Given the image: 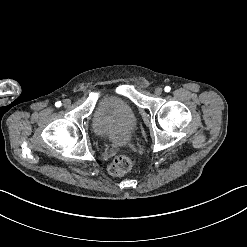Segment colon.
<instances>
[{"mask_svg": "<svg viewBox=\"0 0 247 247\" xmlns=\"http://www.w3.org/2000/svg\"><path fill=\"white\" fill-rule=\"evenodd\" d=\"M133 161L126 155L117 156L109 165V173L114 176H120L132 168Z\"/></svg>", "mask_w": 247, "mask_h": 247, "instance_id": "5ec220e1", "label": "colon"}]
</instances>
